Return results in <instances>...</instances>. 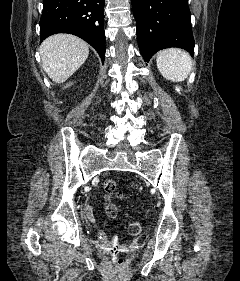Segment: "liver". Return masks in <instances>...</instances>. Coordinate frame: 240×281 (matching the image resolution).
I'll list each match as a JSON object with an SVG mask.
<instances>
[{
	"label": "liver",
	"instance_id": "obj_1",
	"mask_svg": "<svg viewBox=\"0 0 240 281\" xmlns=\"http://www.w3.org/2000/svg\"><path fill=\"white\" fill-rule=\"evenodd\" d=\"M42 67L56 83H63L86 61L88 44L70 34H56L43 41L39 49Z\"/></svg>",
	"mask_w": 240,
	"mask_h": 281
}]
</instances>
